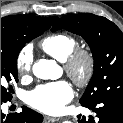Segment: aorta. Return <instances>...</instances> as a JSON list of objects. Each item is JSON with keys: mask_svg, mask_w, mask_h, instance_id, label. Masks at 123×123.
<instances>
[{"mask_svg": "<svg viewBox=\"0 0 123 123\" xmlns=\"http://www.w3.org/2000/svg\"><path fill=\"white\" fill-rule=\"evenodd\" d=\"M33 74L40 79H57L60 76V67L53 60L40 59L33 65ZM62 123H72L64 121Z\"/></svg>", "mask_w": 123, "mask_h": 123, "instance_id": "obj_1", "label": "aorta"}]
</instances>
